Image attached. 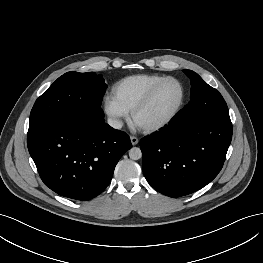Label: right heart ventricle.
Masks as SVG:
<instances>
[{
    "mask_svg": "<svg viewBox=\"0 0 263 263\" xmlns=\"http://www.w3.org/2000/svg\"><path fill=\"white\" fill-rule=\"evenodd\" d=\"M164 76L158 74H138L117 81L111 88V97L126 113L140 102L148 90Z\"/></svg>",
    "mask_w": 263,
    "mask_h": 263,
    "instance_id": "obj_1",
    "label": "right heart ventricle"
}]
</instances>
